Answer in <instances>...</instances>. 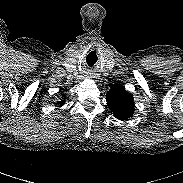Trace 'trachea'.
Here are the masks:
<instances>
[{"label":"trachea","instance_id":"3493384b","mask_svg":"<svg viewBox=\"0 0 183 183\" xmlns=\"http://www.w3.org/2000/svg\"><path fill=\"white\" fill-rule=\"evenodd\" d=\"M87 64L89 66H93L97 62V56L96 53H90L86 58Z\"/></svg>","mask_w":183,"mask_h":183}]
</instances>
